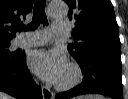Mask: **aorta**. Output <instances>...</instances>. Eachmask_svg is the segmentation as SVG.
<instances>
[{
	"instance_id": "aorta-1",
	"label": "aorta",
	"mask_w": 128,
	"mask_h": 99,
	"mask_svg": "<svg viewBox=\"0 0 128 99\" xmlns=\"http://www.w3.org/2000/svg\"><path fill=\"white\" fill-rule=\"evenodd\" d=\"M49 12L54 18H63L68 14V5L63 0H53L49 5Z\"/></svg>"
}]
</instances>
